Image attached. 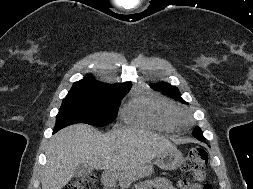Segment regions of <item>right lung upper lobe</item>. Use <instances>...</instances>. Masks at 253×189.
<instances>
[{
  "mask_svg": "<svg viewBox=\"0 0 253 189\" xmlns=\"http://www.w3.org/2000/svg\"><path fill=\"white\" fill-rule=\"evenodd\" d=\"M131 83H117L114 85L106 84L103 82L96 81L90 77H86L83 80L75 82L70 91H83V92H93V91H110V90H130Z\"/></svg>",
  "mask_w": 253,
  "mask_h": 189,
  "instance_id": "obj_1",
  "label": "right lung upper lobe"
}]
</instances>
